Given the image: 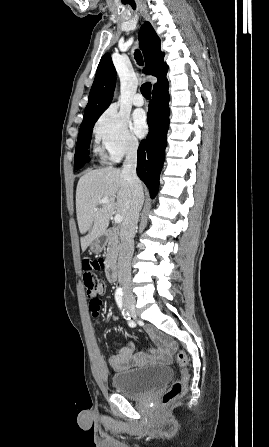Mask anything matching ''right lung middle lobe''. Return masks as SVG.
Masks as SVG:
<instances>
[{"label":"right lung middle lobe","instance_id":"1","mask_svg":"<svg viewBox=\"0 0 269 447\" xmlns=\"http://www.w3.org/2000/svg\"><path fill=\"white\" fill-rule=\"evenodd\" d=\"M95 122L87 124L80 128L78 141L76 145V153L74 157V166L76 169L81 168L89 161L88 148L92 136V129Z\"/></svg>","mask_w":269,"mask_h":447}]
</instances>
